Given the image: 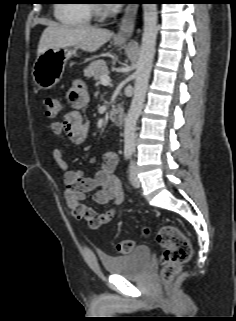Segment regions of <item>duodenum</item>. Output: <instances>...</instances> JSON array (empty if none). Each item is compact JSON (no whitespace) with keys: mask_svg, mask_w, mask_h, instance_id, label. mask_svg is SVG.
Instances as JSON below:
<instances>
[{"mask_svg":"<svg viewBox=\"0 0 236 321\" xmlns=\"http://www.w3.org/2000/svg\"><path fill=\"white\" fill-rule=\"evenodd\" d=\"M111 120L116 125H122L124 122V114L121 110H115L111 114Z\"/></svg>","mask_w":236,"mask_h":321,"instance_id":"1","label":"duodenum"}]
</instances>
